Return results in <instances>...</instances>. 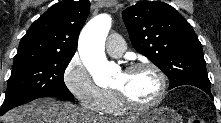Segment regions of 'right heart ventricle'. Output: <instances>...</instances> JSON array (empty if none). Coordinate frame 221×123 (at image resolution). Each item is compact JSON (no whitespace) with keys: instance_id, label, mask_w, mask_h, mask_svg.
Segmentation results:
<instances>
[{"instance_id":"obj_1","label":"right heart ventricle","mask_w":221,"mask_h":123,"mask_svg":"<svg viewBox=\"0 0 221 123\" xmlns=\"http://www.w3.org/2000/svg\"><path fill=\"white\" fill-rule=\"evenodd\" d=\"M125 112L126 110L123 108L114 92L111 90H107V98L103 109V113L111 116H121L125 114Z\"/></svg>"}]
</instances>
